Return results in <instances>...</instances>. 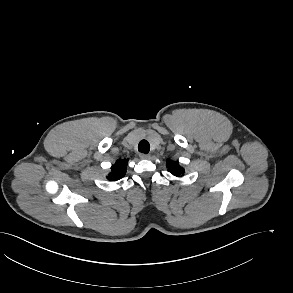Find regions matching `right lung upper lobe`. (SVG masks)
<instances>
[{
  "label": "right lung upper lobe",
  "instance_id": "obj_1",
  "mask_svg": "<svg viewBox=\"0 0 293 293\" xmlns=\"http://www.w3.org/2000/svg\"><path fill=\"white\" fill-rule=\"evenodd\" d=\"M128 160L119 159L111 167V173L108 175L109 180L117 181L125 176Z\"/></svg>",
  "mask_w": 293,
  "mask_h": 293
}]
</instances>
